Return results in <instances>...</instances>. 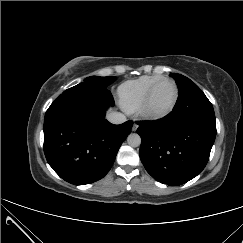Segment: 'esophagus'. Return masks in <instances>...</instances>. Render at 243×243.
Listing matches in <instances>:
<instances>
[{
  "label": "esophagus",
  "instance_id": "esophagus-1",
  "mask_svg": "<svg viewBox=\"0 0 243 243\" xmlns=\"http://www.w3.org/2000/svg\"><path fill=\"white\" fill-rule=\"evenodd\" d=\"M138 128V125L136 122H134L133 126H132V131H136Z\"/></svg>",
  "mask_w": 243,
  "mask_h": 243
}]
</instances>
